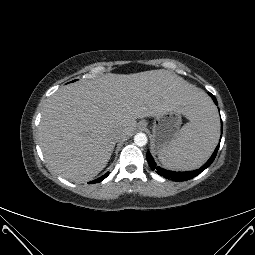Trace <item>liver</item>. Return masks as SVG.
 Returning a JSON list of instances; mask_svg holds the SVG:
<instances>
[{
	"mask_svg": "<svg viewBox=\"0 0 255 255\" xmlns=\"http://www.w3.org/2000/svg\"><path fill=\"white\" fill-rule=\"evenodd\" d=\"M206 95L171 71L129 75L108 73L56 91L39 124V141L48 165L73 182L93 179L107 165L119 131L130 137L136 119L174 109L191 118Z\"/></svg>",
	"mask_w": 255,
	"mask_h": 255,
	"instance_id": "1",
	"label": "liver"
}]
</instances>
